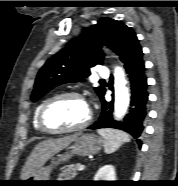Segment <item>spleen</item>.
Returning <instances> with one entry per match:
<instances>
[{
  "instance_id": "3e777b00",
  "label": "spleen",
  "mask_w": 178,
  "mask_h": 186,
  "mask_svg": "<svg viewBox=\"0 0 178 186\" xmlns=\"http://www.w3.org/2000/svg\"><path fill=\"white\" fill-rule=\"evenodd\" d=\"M98 133L103 139L104 151L107 154L114 153L121 145L131 140L127 133L116 129H99Z\"/></svg>"
}]
</instances>
